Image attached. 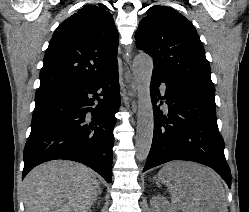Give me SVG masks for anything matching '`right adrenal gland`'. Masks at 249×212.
Returning a JSON list of instances; mask_svg holds the SVG:
<instances>
[{"label":"right adrenal gland","instance_id":"right-adrenal-gland-1","mask_svg":"<svg viewBox=\"0 0 249 212\" xmlns=\"http://www.w3.org/2000/svg\"><path fill=\"white\" fill-rule=\"evenodd\" d=\"M98 194H101V192H98ZM96 200H97V198H96ZM96 200H95V202H96ZM95 202H93V204H95Z\"/></svg>","mask_w":249,"mask_h":212}]
</instances>
